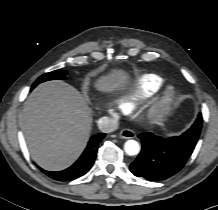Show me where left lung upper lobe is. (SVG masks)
Instances as JSON below:
<instances>
[{"label": "left lung upper lobe", "mask_w": 218, "mask_h": 210, "mask_svg": "<svg viewBox=\"0 0 218 210\" xmlns=\"http://www.w3.org/2000/svg\"><path fill=\"white\" fill-rule=\"evenodd\" d=\"M202 127V115L199 114L197 120L195 121V123L193 124V126L189 129V130H197L200 131Z\"/></svg>", "instance_id": "left-lung-upper-lobe-1"}]
</instances>
